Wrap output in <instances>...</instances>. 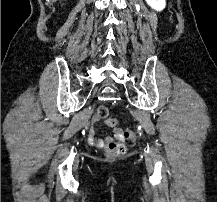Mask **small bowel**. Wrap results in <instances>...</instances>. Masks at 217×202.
<instances>
[{"mask_svg":"<svg viewBox=\"0 0 217 202\" xmlns=\"http://www.w3.org/2000/svg\"><path fill=\"white\" fill-rule=\"evenodd\" d=\"M99 118L100 116L98 115V113L93 116L92 118L93 125L88 130L87 141L89 145L91 146H94L96 148H103L107 142L111 141V138L100 139L96 137V131H95L94 125L100 122ZM109 127H112L114 129L115 138H117L118 140H120V136H124L122 129L120 127L118 128H114L113 126H109Z\"/></svg>","mask_w":217,"mask_h":202,"instance_id":"small-bowel-1","label":"small bowel"}]
</instances>
